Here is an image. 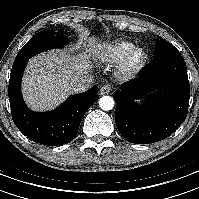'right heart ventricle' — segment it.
<instances>
[{"label":"right heart ventricle","instance_id":"e07e8e85","mask_svg":"<svg viewBox=\"0 0 199 199\" xmlns=\"http://www.w3.org/2000/svg\"><path fill=\"white\" fill-rule=\"evenodd\" d=\"M133 46L134 44L128 40L106 43L96 51V59L104 64H116Z\"/></svg>","mask_w":199,"mask_h":199}]
</instances>
